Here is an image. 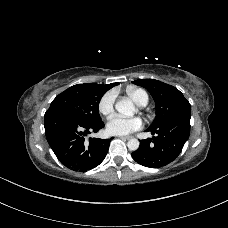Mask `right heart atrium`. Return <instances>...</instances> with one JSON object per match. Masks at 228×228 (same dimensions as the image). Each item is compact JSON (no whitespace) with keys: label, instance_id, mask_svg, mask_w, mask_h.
Segmentation results:
<instances>
[{"label":"right heart atrium","instance_id":"right-heart-atrium-1","mask_svg":"<svg viewBox=\"0 0 228 228\" xmlns=\"http://www.w3.org/2000/svg\"><path fill=\"white\" fill-rule=\"evenodd\" d=\"M116 101V93L114 91H107L99 100L98 109L104 116H110L114 111Z\"/></svg>","mask_w":228,"mask_h":228}]
</instances>
